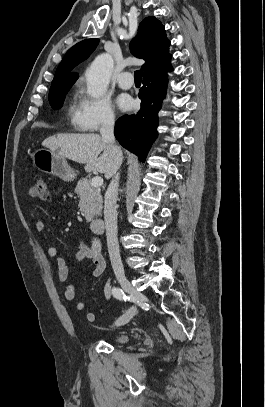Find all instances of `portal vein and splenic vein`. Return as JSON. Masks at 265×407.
<instances>
[{
  "mask_svg": "<svg viewBox=\"0 0 265 407\" xmlns=\"http://www.w3.org/2000/svg\"><path fill=\"white\" fill-rule=\"evenodd\" d=\"M91 185L94 187H100L103 185V178H101L100 176H95L93 177V179L91 180Z\"/></svg>",
  "mask_w": 265,
  "mask_h": 407,
  "instance_id": "portal-vein-and-splenic-vein-1",
  "label": "portal vein and splenic vein"
}]
</instances>
